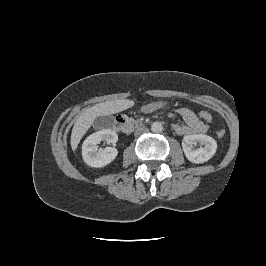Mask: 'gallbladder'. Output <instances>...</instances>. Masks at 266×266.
Masks as SVG:
<instances>
[{
  "label": "gallbladder",
  "instance_id": "obj_1",
  "mask_svg": "<svg viewBox=\"0 0 266 266\" xmlns=\"http://www.w3.org/2000/svg\"><path fill=\"white\" fill-rule=\"evenodd\" d=\"M113 124H114L113 116H99L93 122L95 128L112 127Z\"/></svg>",
  "mask_w": 266,
  "mask_h": 266
}]
</instances>
